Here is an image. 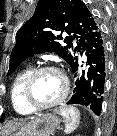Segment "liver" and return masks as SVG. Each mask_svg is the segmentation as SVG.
<instances>
[{"instance_id":"obj_1","label":"liver","mask_w":117,"mask_h":136,"mask_svg":"<svg viewBox=\"0 0 117 136\" xmlns=\"http://www.w3.org/2000/svg\"><path fill=\"white\" fill-rule=\"evenodd\" d=\"M24 124L23 121H18V120H11L9 121L4 128V135L9 136L11 133L16 131L19 127H21Z\"/></svg>"}]
</instances>
